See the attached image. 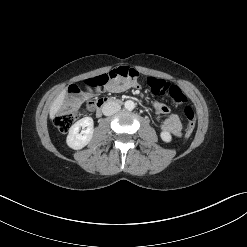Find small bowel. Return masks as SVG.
<instances>
[{
	"instance_id": "obj_1",
	"label": "small bowel",
	"mask_w": 247,
	"mask_h": 247,
	"mask_svg": "<svg viewBox=\"0 0 247 247\" xmlns=\"http://www.w3.org/2000/svg\"><path fill=\"white\" fill-rule=\"evenodd\" d=\"M138 84L135 79L130 77H117L113 79L106 87L110 92L120 93L127 91L131 88H137ZM153 105L157 114H167L169 108L162 102L154 101ZM161 129L172 136L179 137L182 133V122L177 114H171L161 124Z\"/></svg>"
}]
</instances>
